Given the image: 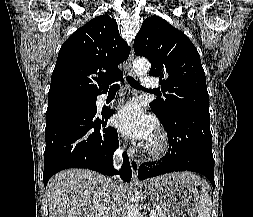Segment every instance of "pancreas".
<instances>
[{
  "label": "pancreas",
  "mask_w": 253,
  "mask_h": 217,
  "mask_svg": "<svg viewBox=\"0 0 253 217\" xmlns=\"http://www.w3.org/2000/svg\"><path fill=\"white\" fill-rule=\"evenodd\" d=\"M156 211H157V214L155 217H167L164 211L162 210V208L157 209Z\"/></svg>",
  "instance_id": "cf45deb5"
}]
</instances>
